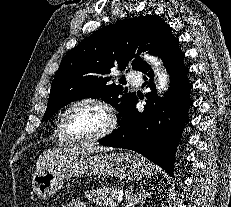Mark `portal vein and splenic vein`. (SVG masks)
I'll return each instance as SVG.
<instances>
[{"mask_svg":"<svg viewBox=\"0 0 231 207\" xmlns=\"http://www.w3.org/2000/svg\"><path fill=\"white\" fill-rule=\"evenodd\" d=\"M120 201H122V195H118V202H120ZM116 204H117L116 202H113L110 205H111V207H115Z\"/></svg>","mask_w":231,"mask_h":207,"instance_id":"portal-vein-and-splenic-vein-1","label":"portal vein and splenic vein"}]
</instances>
